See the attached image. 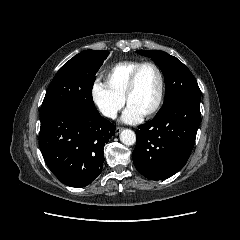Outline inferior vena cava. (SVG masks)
<instances>
[{
	"instance_id": "obj_1",
	"label": "inferior vena cava",
	"mask_w": 240,
	"mask_h": 240,
	"mask_svg": "<svg viewBox=\"0 0 240 240\" xmlns=\"http://www.w3.org/2000/svg\"><path fill=\"white\" fill-rule=\"evenodd\" d=\"M103 114L114 119L117 116V111L115 109L108 108L103 110Z\"/></svg>"
}]
</instances>
